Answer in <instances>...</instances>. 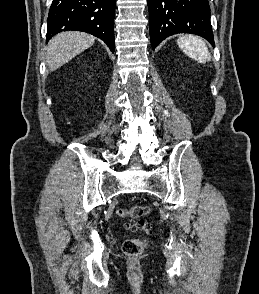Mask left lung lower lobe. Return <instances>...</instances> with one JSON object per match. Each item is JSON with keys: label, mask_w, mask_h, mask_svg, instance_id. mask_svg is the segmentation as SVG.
<instances>
[{"label": "left lung lower lobe", "mask_w": 259, "mask_h": 294, "mask_svg": "<svg viewBox=\"0 0 259 294\" xmlns=\"http://www.w3.org/2000/svg\"><path fill=\"white\" fill-rule=\"evenodd\" d=\"M153 49L177 33L204 37L214 46L208 0H147Z\"/></svg>", "instance_id": "obj_1"}]
</instances>
